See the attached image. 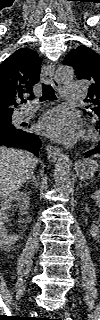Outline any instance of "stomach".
<instances>
[{
	"label": "stomach",
	"instance_id": "1",
	"mask_svg": "<svg viewBox=\"0 0 100 320\" xmlns=\"http://www.w3.org/2000/svg\"><path fill=\"white\" fill-rule=\"evenodd\" d=\"M98 168V162L92 158H85L79 161L75 166L77 176L84 180L91 179L95 175Z\"/></svg>",
	"mask_w": 100,
	"mask_h": 320
}]
</instances>
